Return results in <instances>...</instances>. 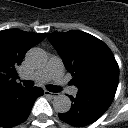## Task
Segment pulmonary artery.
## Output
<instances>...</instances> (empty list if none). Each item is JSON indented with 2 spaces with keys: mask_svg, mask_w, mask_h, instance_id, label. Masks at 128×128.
I'll return each mask as SVG.
<instances>
[{
  "mask_svg": "<svg viewBox=\"0 0 128 128\" xmlns=\"http://www.w3.org/2000/svg\"><path fill=\"white\" fill-rule=\"evenodd\" d=\"M63 72L64 67L61 59L57 56H52L47 65L33 73L30 78L39 81V82H47L49 80H54L55 82L62 83L63 82ZM27 76H23V78H26ZM67 92L71 95H76L78 92V89L74 86L67 89Z\"/></svg>",
  "mask_w": 128,
  "mask_h": 128,
  "instance_id": "e3ab8cb5",
  "label": "pulmonary artery"
}]
</instances>
